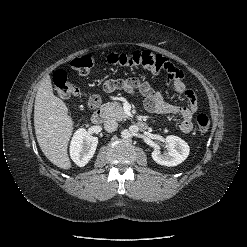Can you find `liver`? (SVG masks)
<instances>
[{"mask_svg": "<svg viewBox=\"0 0 247 247\" xmlns=\"http://www.w3.org/2000/svg\"><path fill=\"white\" fill-rule=\"evenodd\" d=\"M68 107L54 95L49 75L42 78L34 105V127L38 144L47 159L62 169H70L67 148L73 132Z\"/></svg>", "mask_w": 247, "mask_h": 247, "instance_id": "liver-1", "label": "liver"}]
</instances>
